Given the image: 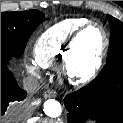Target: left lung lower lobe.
I'll use <instances>...</instances> for the list:
<instances>
[{
    "label": "left lung lower lobe",
    "mask_w": 123,
    "mask_h": 123,
    "mask_svg": "<svg viewBox=\"0 0 123 123\" xmlns=\"http://www.w3.org/2000/svg\"><path fill=\"white\" fill-rule=\"evenodd\" d=\"M68 123H123V72L112 78L101 73L85 87L64 99Z\"/></svg>",
    "instance_id": "1"
}]
</instances>
